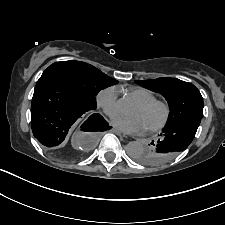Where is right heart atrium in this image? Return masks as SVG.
<instances>
[{
  "label": "right heart atrium",
  "instance_id": "d8ad5b80",
  "mask_svg": "<svg viewBox=\"0 0 225 225\" xmlns=\"http://www.w3.org/2000/svg\"><path fill=\"white\" fill-rule=\"evenodd\" d=\"M97 106L108 116H114L118 111V92L114 87L100 90L96 96Z\"/></svg>",
  "mask_w": 225,
  "mask_h": 225
}]
</instances>
